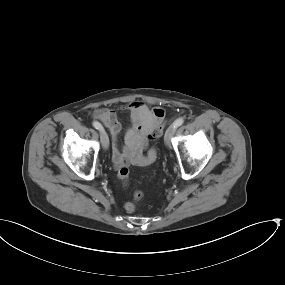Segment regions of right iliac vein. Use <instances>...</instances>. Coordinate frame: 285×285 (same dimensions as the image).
I'll list each match as a JSON object with an SVG mask.
<instances>
[{
    "label": "right iliac vein",
    "instance_id": "63e3f726",
    "mask_svg": "<svg viewBox=\"0 0 285 285\" xmlns=\"http://www.w3.org/2000/svg\"><path fill=\"white\" fill-rule=\"evenodd\" d=\"M100 139L104 149H107L109 146V138L106 131L102 128L100 129Z\"/></svg>",
    "mask_w": 285,
    "mask_h": 285
}]
</instances>
